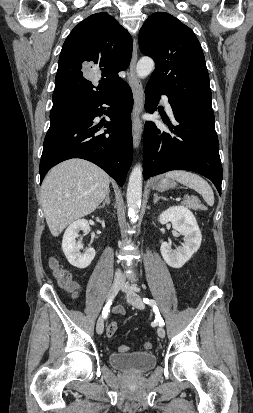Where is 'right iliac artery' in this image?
Wrapping results in <instances>:
<instances>
[{
	"label": "right iliac artery",
	"mask_w": 253,
	"mask_h": 413,
	"mask_svg": "<svg viewBox=\"0 0 253 413\" xmlns=\"http://www.w3.org/2000/svg\"><path fill=\"white\" fill-rule=\"evenodd\" d=\"M111 303H112L111 301H108V303L106 304V306L103 308V311H102L103 317H106V316H107V314H108V312H109V307H110Z\"/></svg>",
	"instance_id": "obj_1"
}]
</instances>
